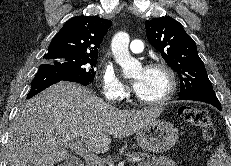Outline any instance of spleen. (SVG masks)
Here are the masks:
<instances>
[{
  "mask_svg": "<svg viewBox=\"0 0 231 166\" xmlns=\"http://www.w3.org/2000/svg\"><path fill=\"white\" fill-rule=\"evenodd\" d=\"M208 166H231V159L226 153L225 145L221 143L210 157Z\"/></svg>",
  "mask_w": 231,
  "mask_h": 166,
  "instance_id": "obj_1",
  "label": "spleen"
}]
</instances>
